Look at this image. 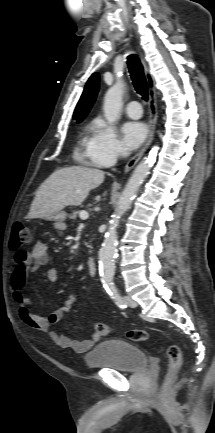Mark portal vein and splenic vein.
Segmentation results:
<instances>
[{
  "label": "portal vein and splenic vein",
  "mask_w": 215,
  "mask_h": 433,
  "mask_svg": "<svg viewBox=\"0 0 215 433\" xmlns=\"http://www.w3.org/2000/svg\"><path fill=\"white\" fill-rule=\"evenodd\" d=\"M88 217H89V215H88L87 212H82V213L80 214V218H81L82 220H86Z\"/></svg>",
  "instance_id": "obj_1"
}]
</instances>
